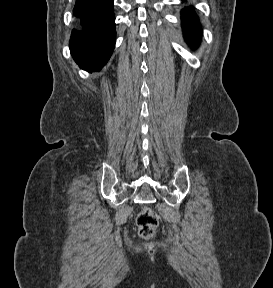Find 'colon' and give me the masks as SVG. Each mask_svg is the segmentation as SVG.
<instances>
[{
    "mask_svg": "<svg viewBox=\"0 0 273 288\" xmlns=\"http://www.w3.org/2000/svg\"><path fill=\"white\" fill-rule=\"evenodd\" d=\"M139 235L150 239L155 235L158 219L155 213L148 207L143 208L137 216Z\"/></svg>",
    "mask_w": 273,
    "mask_h": 288,
    "instance_id": "1",
    "label": "colon"
}]
</instances>
